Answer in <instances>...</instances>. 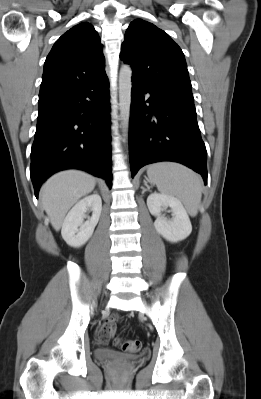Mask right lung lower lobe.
Returning <instances> with one entry per match:
<instances>
[{"label":"right lung lower lobe","mask_w":261,"mask_h":399,"mask_svg":"<svg viewBox=\"0 0 261 399\" xmlns=\"http://www.w3.org/2000/svg\"><path fill=\"white\" fill-rule=\"evenodd\" d=\"M107 76L39 99L31 150L35 196L53 173L77 168L112 186L110 105Z\"/></svg>","instance_id":"obj_1"}]
</instances>
